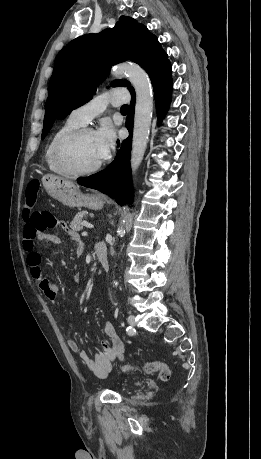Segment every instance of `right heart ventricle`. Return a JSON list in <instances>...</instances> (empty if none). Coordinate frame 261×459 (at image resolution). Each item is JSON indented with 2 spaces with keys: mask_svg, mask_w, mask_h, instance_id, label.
<instances>
[{
  "mask_svg": "<svg viewBox=\"0 0 261 459\" xmlns=\"http://www.w3.org/2000/svg\"><path fill=\"white\" fill-rule=\"evenodd\" d=\"M81 126H82L81 124L75 122L69 117L65 122H63L59 127H57L54 130V132L51 134L47 142L45 152H44V159H45L46 165L49 168V170H51L52 172L58 173V174H63L54 162L55 145L57 141L59 140V138L63 136L65 133L73 129H76L78 127H81Z\"/></svg>",
  "mask_w": 261,
  "mask_h": 459,
  "instance_id": "1",
  "label": "right heart ventricle"
}]
</instances>
